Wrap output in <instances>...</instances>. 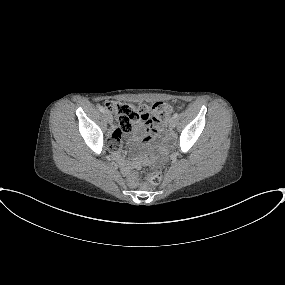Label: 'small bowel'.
<instances>
[{
    "label": "small bowel",
    "instance_id": "obj_1",
    "mask_svg": "<svg viewBox=\"0 0 285 285\" xmlns=\"http://www.w3.org/2000/svg\"><path fill=\"white\" fill-rule=\"evenodd\" d=\"M156 125L155 121L148 120L144 123H141L135 127L136 134L133 136L132 140L137 141L142 137L150 134L152 132L153 127ZM123 137V132L118 129H114L111 133L110 138L107 141V147L112 151H117L121 147V141ZM114 159L124 168L125 164L123 159L119 155H115ZM128 182L131 186L135 184V177L129 176Z\"/></svg>",
    "mask_w": 285,
    "mask_h": 285
}]
</instances>
